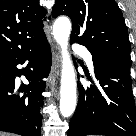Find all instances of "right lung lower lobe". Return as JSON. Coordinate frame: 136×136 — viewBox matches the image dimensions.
I'll list each match as a JSON object with an SVG mask.
<instances>
[{"label": "right lung lower lobe", "instance_id": "98d812e1", "mask_svg": "<svg viewBox=\"0 0 136 136\" xmlns=\"http://www.w3.org/2000/svg\"><path fill=\"white\" fill-rule=\"evenodd\" d=\"M27 68L18 69V64ZM52 57L46 36L17 55L0 60V131L22 136H40L44 82ZM24 75L30 83L15 87L16 76Z\"/></svg>", "mask_w": 136, "mask_h": 136}]
</instances>
